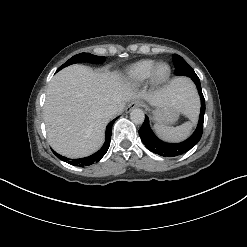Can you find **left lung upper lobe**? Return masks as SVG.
<instances>
[{"mask_svg":"<svg viewBox=\"0 0 247 247\" xmlns=\"http://www.w3.org/2000/svg\"><path fill=\"white\" fill-rule=\"evenodd\" d=\"M172 60L175 65L176 75H184L188 77L196 75L192 67L179 55L174 54Z\"/></svg>","mask_w":247,"mask_h":247,"instance_id":"1","label":"left lung upper lobe"}]
</instances>
